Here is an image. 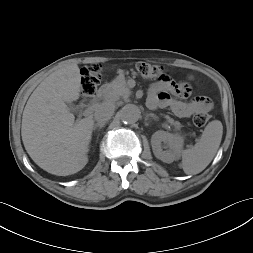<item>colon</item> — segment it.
Masks as SVG:
<instances>
[{
  "label": "colon",
  "mask_w": 253,
  "mask_h": 253,
  "mask_svg": "<svg viewBox=\"0 0 253 253\" xmlns=\"http://www.w3.org/2000/svg\"><path fill=\"white\" fill-rule=\"evenodd\" d=\"M135 68L137 73L144 78L159 80L165 77L164 68L158 65L139 62ZM101 75L100 66H90L81 70V91L85 98H91L96 94ZM209 119L208 111L198 112L193 117V123L197 127H203Z\"/></svg>",
  "instance_id": "colon-1"
}]
</instances>
